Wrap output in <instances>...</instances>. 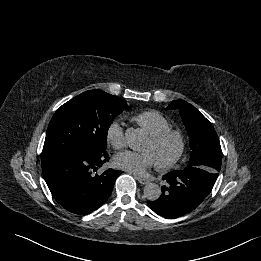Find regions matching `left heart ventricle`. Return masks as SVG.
I'll list each match as a JSON object with an SVG mask.
<instances>
[{"instance_id": "b2bd125f", "label": "left heart ventricle", "mask_w": 261, "mask_h": 261, "mask_svg": "<svg viewBox=\"0 0 261 261\" xmlns=\"http://www.w3.org/2000/svg\"><path fill=\"white\" fill-rule=\"evenodd\" d=\"M176 148L177 144L174 140H169L160 146L154 145L150 140H148L144 146L145 151H151L154 154L158 163L172 157L176 151Z\"/></svg>"}]
</instances>
